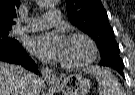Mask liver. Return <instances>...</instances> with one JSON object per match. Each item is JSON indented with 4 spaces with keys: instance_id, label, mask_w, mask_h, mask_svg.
<instances>
[{
    "instance_id": "1",
    "label": "liver",
    "mask_w": 135,
    "mask_h": 95,
    "mask_svg": "<svg viewBox=\"0 0 135 95\" xmlns=\"http://www.w3.org/2000/svg\"><path fill=\"white\" fill-rule=\"evenodd\" d=\"M27 71L21 66L0 61V95H25L27 91ZM42 82L35 77L31 86L32 95H39Z\"/></svg>"
}]
</instances>
